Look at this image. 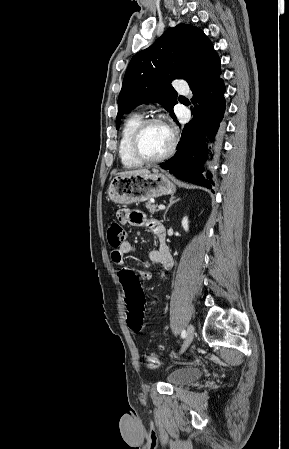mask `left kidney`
Segmentation results:
<instances>
[{
  "label": "left kidney",
  "mask_w": 289,
  "mask_h": 449,
  "mask_svg": "<svg viewBox=\"0 0 289 449\" xmlns=\"http://www.w3.org/2000/svg\"><path fill=\"white\" fill-rule=\"evenodd\" d=\"M182 227L185 231L189 230V221H188V217H184L182 220Z\"/></svg>",
  "instance_id": "left-kidney-1"
}]
</instances>
